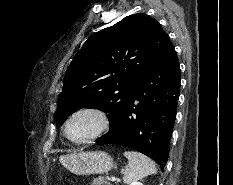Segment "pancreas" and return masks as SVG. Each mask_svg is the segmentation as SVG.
<instances>
[{
	"label": "pancreas",
	"mask_w": 233,
	"mask_h": 185,
	"mask_svg": "<svg viewBox=\"0 0 233 185\" xmlns=\"http://www.w3.org/2000/svg\"><path fill=\"white\" fill-rule=\"evenodd\" d=\"M91 185H111L105 177L99 176L97 178H94Z\"/></svg>",
	"instance_id": "cf45deb5"
}]
</instances>
